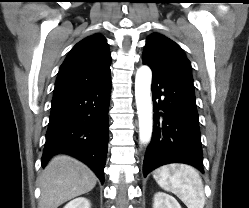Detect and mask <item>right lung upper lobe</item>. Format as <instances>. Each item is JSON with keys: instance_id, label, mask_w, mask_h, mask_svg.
I'll return each mask as SVG.
<instances>
[{"instance_id": "1", "label": "right lung upper lobe", "mask_w": 249, "mask_h": 208, "mask_svg": "<svg viewBox=\"0 0 249 208\" xmlns=\"http://www.w3.org/2000/svg\"><path fill=\"white\" fill-rule=\"evenodd\" d=\"M111 56L105 38L95 34L78 42L60 67L54 95L93 86L110 77Z\"/></svg>"}]
</instances>
